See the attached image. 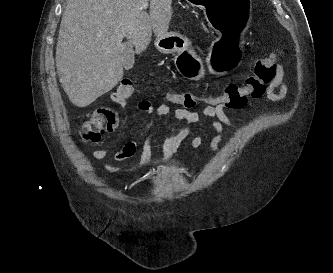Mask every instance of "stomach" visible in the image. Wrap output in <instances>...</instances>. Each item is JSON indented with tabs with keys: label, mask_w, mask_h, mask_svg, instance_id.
<instances>
[{
	"label": "stomach",
	"mask_w": 333,
	"mask_h": 273,
	"mask_svg": "<svg viewBox=\"0 0 333 273\" xmlns=\"http://www.w3.org/2000/svg\"><path fill=\"white\" fill-rule=\"evenodd\" d=\"M190 5L206 12L212 32H221V38H243L254 23L251 16L252 0H186ZM155 47L164 54H177V70L185 75H199L200 65L207 70H218V75H235L237 65H244L242 39H219L211 44L210 58H193L188 38L170 31L158 36Z\"/></svg>",
	"instance_id": "obj_1"
}]
</instances>
